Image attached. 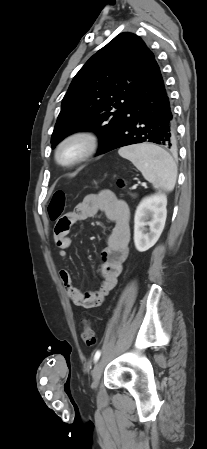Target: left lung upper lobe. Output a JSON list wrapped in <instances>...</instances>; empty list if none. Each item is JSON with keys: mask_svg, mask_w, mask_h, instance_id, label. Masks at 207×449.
I'll return each mask as SVG.
<instances>
[{"mask_svg": "<svg viewBox=\"0 0 207 449\" xmlns=\"http://www.w3.org/2000/svg\"><path fill=\"white\" fill-rule=\"evenodd\" d=\"M156 63L139 36L117 35L72 80L51 137L52 147L73 132L89 130L100 139L99 153L120 128Z\"/></svg>", "mask_w": 207, "mask_h": 449, "instance_id": "left-lung-upper-lobe-1", "label": "left lung upper lobe"}]
</instances>
